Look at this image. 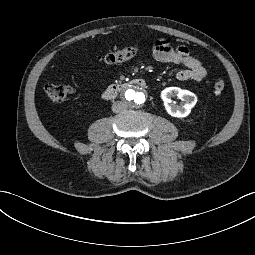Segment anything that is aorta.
Listing matches in <instances>:
<instances>
[{
  "label": "aorta",
  "instance_id": "762f6f07",
  "mask_svg": "<svg viewBox=\"0 0 255 255\" xmlns=\"http://www.w3.org/2000/svg\"><path fill=\"white\" fill-rule=\"evenodd\" d=\"M123 97L130 107H140L146 101L145 94L139 87L128 88Z\"/></svg>",
  "mask_w": 255,
  "mask_h": 255
}]
</instances>
